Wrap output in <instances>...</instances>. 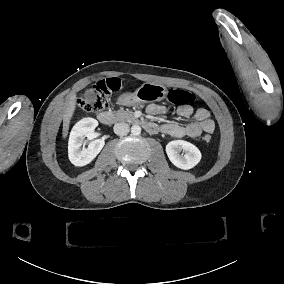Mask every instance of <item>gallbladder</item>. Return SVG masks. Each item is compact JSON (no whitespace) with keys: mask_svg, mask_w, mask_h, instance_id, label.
<instances>
[{"mask_svg":"<svg viewBox=\"0 0 284 284\" xmlns=\"http://www.w3.org/2000/svg\"><path fill=\"white\" fill-rule=\"evenodd\" d=\"M84 97L91 104L96 100V95L94 94L93 90H87Z\"/></svg>","mask_w":284,"mask_h":284,"instance_id":"gallbladder-1","label":"gallbladder"}]
</instances>
